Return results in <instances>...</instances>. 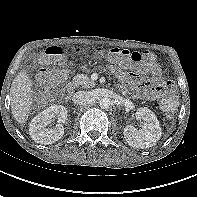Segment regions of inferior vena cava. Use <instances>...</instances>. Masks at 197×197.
Segmentation results:
<instances>
[{"label":"inferior vena cava","instance_id":"602c4592","mask_svg":"<svg viewBox=\"0 0 197 197\" xmlns=\"http://www.w3.org/2000/svg\"><path fill=\"white\" fill-rule=\"evenodd\" d=\"M90 99V94L87 91H78L73 96V102L78 105L86 103Z\"/></svg>","mask_w":197,"mask_h":197}]
</instances>
